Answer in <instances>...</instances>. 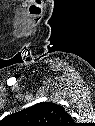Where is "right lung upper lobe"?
<instances>
[{
    "label": "right lung upper lobe",
    "mask_w": 95,
    "mask_h": 126,
    "mask_svg": "<svg viewBox=\"0 0 95 126\" xmlns=\"http://www.w3.org/2000/svg\"><path fill=\"white\" fill-rule=\"evenodd\" d=\"M14 126H71L72 117L63 106L52 102L37 103L6 117Z\"/></svg>",
    "instance_id": "cb5924a9"
}]
</instances>
